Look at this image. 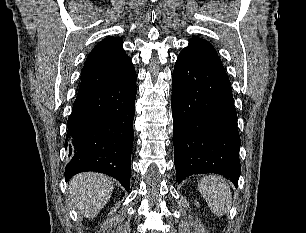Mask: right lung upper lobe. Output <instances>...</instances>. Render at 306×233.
Listing matches in <instances>:
<instances>
[{"instance_id":"right-lung-upper-lobe-1","label":"right lung upper lobe","mask_w":306,"mask_h":233,"mask_svg":"<svg viewBox=\"0 0 306 233\" xmlns=\"http://www.w3.org/2000/svg\"><path fill=\"white\" fill-rule=\"evenodd\" d=\"M122 45V38L106 37L93 48L82 69L78 94L108 86L133 67Z\"/></svg>"}]
</instances>
